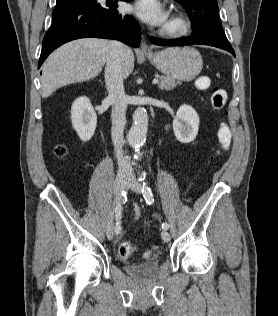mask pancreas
Here are the masks:
<instances>
[{"mask_svg": "<svg viewBox=\"0 0 278 316\" xmlns=\"http://www.w3.org/2000/svg\"><path fill=\"white\" fill-rule=\"evenodd\" d=\"M177 84H179V82H176L173 78L161 77L158 87L161 90L170 91L171 89L175 88Z\"/></svg>", "mask_w": 278, "mask_h": 316, "instance_id": "pancreas-1", "label": "pancreas"}]
</instances>
